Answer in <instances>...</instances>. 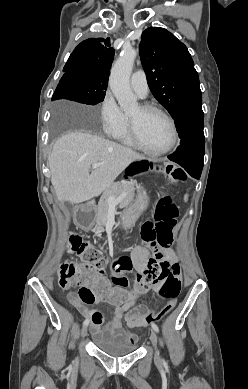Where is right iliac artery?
<instances>
[{
  "mask_svg": "<svg viewBox=\"0 0 248 389\" xmlns=\"http://www.w3.org/2000/svg\"><path fill=\"white\" fill-rule=\"evenodd\" d=\"M89 324V321L86 319L84 322H83V325L86 326Z\"/></svg>",
  "mask_w": 248,
  "mask_h": 389,
  "instance_id": "obj_1",
  "label": "right iliac artery"
}]
</instances>
